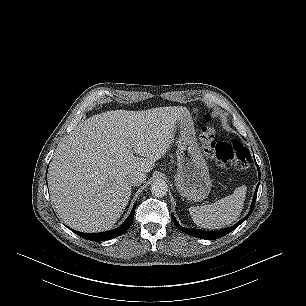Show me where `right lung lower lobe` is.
<instances>
[{
	"mask_svg": "<svg viewBox=\"0 0 306 306\" xmlns=\"http://www.w3.org/2000/svg\"><path fill=\"white\" fill-rule=\"evenodd\" d=\"M47 180V178H46ZM135 207L136 204L134 205L129 217L127 218V220L118 228L108 231V232H102V233H96V234H91V233H81L75 230H72L74 233H76L77 235L87 239V240H91V241H105V240H109L115 237H118L122 234H124L130 227V225L133 222V218H134V212H135Z\"/></svg>",
	"mask_w": 306,
	"mask_h": 306,
	"instance_id": "obj_1",
	"label": "right lung lower lobe"
}]
</instances>
